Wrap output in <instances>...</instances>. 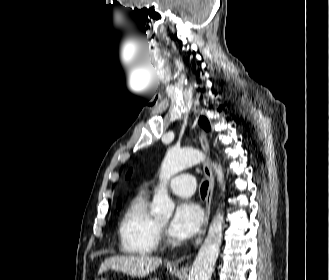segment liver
Wrapping results in <instances>:
<instances>
[{"label":"liver","mask_w":329,"mask_h":280,"mask_svg":"<svg viewBox=\"0 0 329 280\" xmlns=\"http://www.w3.org/2000/svg\"><path fill=\"white\" fill-rule=\"evenodd\" d=\"M161 264V259L146 255L113 256L105 259L104 262L101 263L98 275L111 269L132 277L143 278L156 270Z\"/></svg>","instance_id":"6515ba94"}]
</instances>
